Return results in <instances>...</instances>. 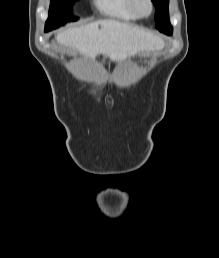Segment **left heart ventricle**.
Wrapping results in <instances>:
<instances>
[{
	"label": "left heart ventricle",
	"mask_w": 219,
	"mask_h": 258,
	"mask_svg": "<svg viewBox=\"0 0 219 258\" xmlns=\"http://www.w3.org/2000/svg\"><path fill=\"white\" fill-rule=\"evenodd\" d=\"M140 8L144 12L148 11V6L143 0L140 2Z\"/></svg>",
	"instance_id": "obj_1"
}]
</instances>
